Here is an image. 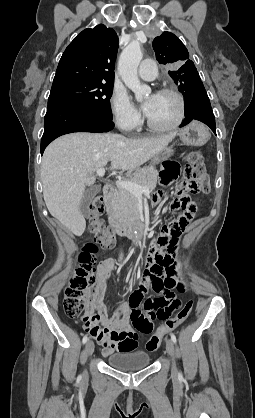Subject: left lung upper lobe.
<instances>
[{"label": "left lung upper lobe", "instance_id": "obj_1", "mask_svg": "<svg viewBox=\"0 0 255 418\" xmlns=\"http://www.w3.org/2000/svg\"><path fill=\"white\" fill-rule=\"evenodd\" d=\"M153 49L160 64L173 66V70L168 73L183 96L204 88L194 63L189 60L188 50L178 37L164 32L153 40Z\"/></svg>", "mask_w": 255, "mask_h": 418}]
</instances>
